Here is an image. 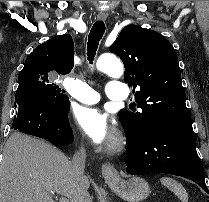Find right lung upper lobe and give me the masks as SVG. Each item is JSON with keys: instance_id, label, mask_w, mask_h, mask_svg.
Returning <instances> with one entry per match:
<instances>
[{"instance_id": "right-lung-upper-lobe-1", "label": "right lung upper lobe", "mask_w": 209, "mask_h": 202, "mask_svg": "<svg viewBox=\"0 0 209 202\" xmlns=\"http://www.w3.org/2000/svg\"><path fill=\"white\" fill-rule=\"evenodd\" d=\"M73 66L74 43L69 34H64L37 46L27 57L19 76L35 73L48 74L52 71L67 74Z\"/></svg>"}]
</instances>
